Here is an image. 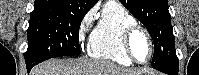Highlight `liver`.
<instances>
[{
  "instance_id": "6515ba94",
  "label": "liver",
  "mask_w": 199,
  "mask_h": 75,
  "mask_svg": "<svg viewBox=\"0 0 199 75\" xmlns=\"http://www.w3.org/2000/svg\"><path fill=\"white\" fill-rule=\"evenodd\" d=\"M140 72L126 69L112 62L90 59L47 60L35 66L30 75H139Z\"/></svg>"
}]
</instances>
